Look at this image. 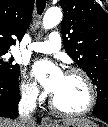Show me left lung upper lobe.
I'll return each mask as SVG.
<instances>
[{"label": "left lung upper lobe", "mask_w": 108, "mask_h": 127, "mask_svg": "<svg viewBox=\"0 0 108 127\" xmlns=\"http://www.w3.org/2000/svg\"><path fill=\"white\" fill-rule=\"evenodd\" d=\"M67 54L97 87L96 103L108 104V15L92 0H60Z\"/></svg>", "instance_id": "left-lung-upper-lobe-1"}]
</instances>
